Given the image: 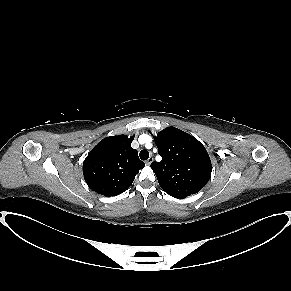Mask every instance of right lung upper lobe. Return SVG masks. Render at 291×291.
<instances>
[{"instance_id": "cb5924a9", "label": "right lung upper lobe", "mask_w": 291, "mask_h": 291, "mask_svg": "<svg viewBox=\"0 0 291 291\" xmlns=\"http://www.w3.org/2000/svg\"><path fill=\"white\" fill-rule=\"evenodd\" d=\"M134 136L106 137L83 162V175L89 188L104 196H116L126 191L135 175L145 164L131 147Z\"/></svg>"}]
</instances>
